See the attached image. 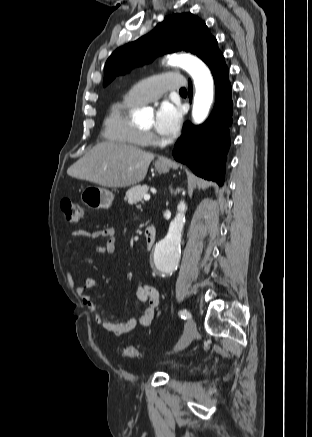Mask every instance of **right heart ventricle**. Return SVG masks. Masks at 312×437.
<instances>
[{
	"instance_id": "obj_1",
	"label": "right heart ventricle",
	"mask_w": 312,
	"mask_h": 437,
	"mask_svg": "<svg viewBox=\"0 0 312 437\" xmlns=\"http://www.w3.org/2000/svg\"><path fill=\"white\" fill-rule=\"evenodd\" d=\"M139 105L125 97L110 107L104 120L106 139L116 144L134 147H142L147 143L146 135L132 123L129 116V111Z\"/></svg>"
}]
</instances>
